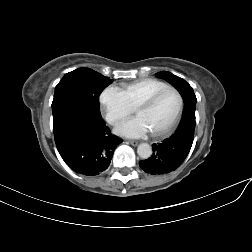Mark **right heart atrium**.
Here are the masks:
<instances>
[{"instance_id":"right-heart-atrium-1","label":"right heart atrium","mask_w":252,"mask_h":252,"mask_svg":"<svg viewBox=\"0 0 252 252\" xmlns=\"http://www.w3.org/2000/svg\"><path fill=\"white\" fill-rule=\"evenodd\" d=\"M100 103L103 106L107 121L112 125H118L132 113V106L123 93L108 87L100 95Z\"/></svg>"}]
</instances>
